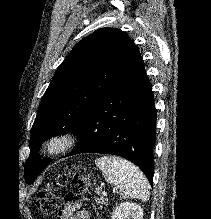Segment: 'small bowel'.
I'll use <instances>...</instances> for the list:
<instances>
[{
  "label": "small bowel",
  "instance_id": "c3829d8e",
  "mask_svg": "<svg viewBox=\"0 0 211 219\" xmlns=\"http://www.w3.org/2000/svg\"><path fill=\"white\" fill-rule=\"evenodd\" d=\"M56 219H89V214L85 211L77 212L76 205H68L58 213Z\"/></svg>",
  "mask_w": 211,
  "mask_h": 219
}]
</instances>
